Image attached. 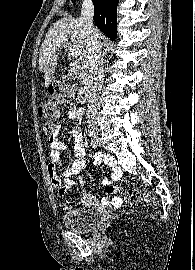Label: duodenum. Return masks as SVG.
I'll list each match as a JSON object with an SVG mask.
<instances>
[{
    "instance_id": "410a0bca",
    "label": "duodenum",
    "mask_w": 195,
    "mask_h": 270,
    "mask_svg": "<svg viewBox=\"0 0 195 270\" xmlns=\"http://www.w3.org/2000/svg\"><path fill=\"white\" fill-rule=\"evenodd\" d=\"M80 67L77 65H69L68 67V73L70 75H75L79 72ZM93 88V83L90 80H86L79 92V98L81 101H88L91 95V91Z\"/></svg>"
}]
</instances>
